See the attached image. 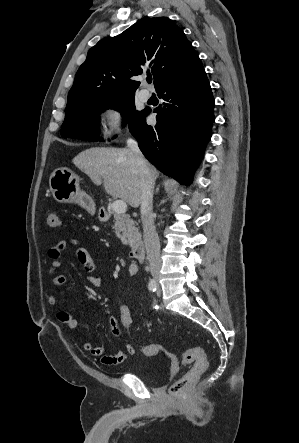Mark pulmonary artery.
<instances>
[{
    "label": "pulmonary artery",
    "instance_id": "obj_1",
    "mask_svg": "<svg viewBox=\"0 0 299 443\" xmlns=\"http://www.w3.org/2000/svg\"><path fill=\"white\" fill-rule=\"evenodd\" d=\"M139 97L143 102H146L150 98V93L147 90H142Z\"/></svg>",
    "mask_w": 299,
    "mask_h": 443
}]
</instances>
